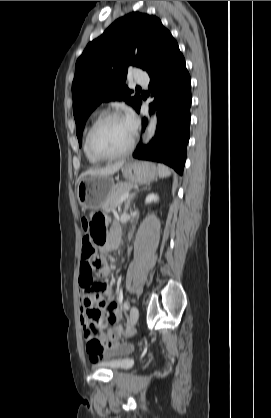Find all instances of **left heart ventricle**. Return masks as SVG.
<instances>
[{
  "label": "left heart ventricle",
  "mask_w": 271,
  "mask_h": 418,
  "mask_svg": "<svg viewBox=\"0 0 271 418\" xmlns=\"http://www.w3.org/2000/svg\"><path fill=\"white\" fill-rule=\"evenodd\" d=\"M132 135L124 118L109 119L96 128L92 144L101 153L113 154L125 149Z\"/></svg>",
  "instance_id": "1"
}]
</instances>
